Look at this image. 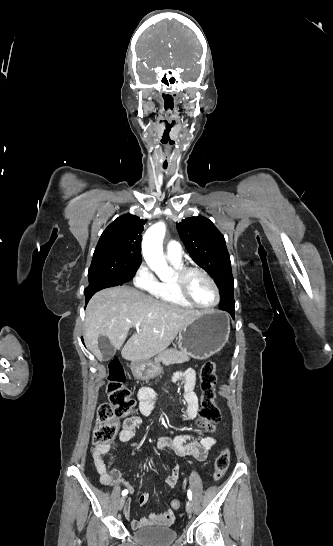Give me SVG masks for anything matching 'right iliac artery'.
<instances>
[{
	"label": "right iliac artery",
	"instance_id": "obj_1",
	"mask_svg": "<svg viewBox=\"0 0 333 546\" xmlns=\"http://www.w3.org/2000/svg\"><path fill=\"white\" fill-rule=\"evenodd\" d=\"M127 494H128V490H127V489H125V490L122 491V495H123V496H125V495H127Z\"/></svg>",
	"mask_w": 333,
	"mask_h": 546
}]
</instances>
